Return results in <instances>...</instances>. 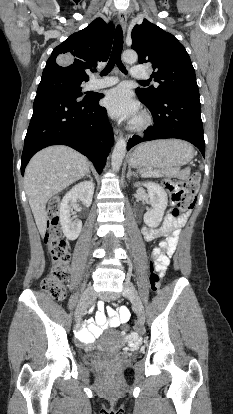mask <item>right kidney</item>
<instances>
[{"label":"right kidney","instance_id":"1","mask_svg":"<svg viewBox=\"0 0 233 414\" xmlns=\"http://www.w3.org/2000/svg\"><path fill=\"white\" fill-rule=\"evenodd\" d=\"M94 194V183L92 181H83L75 185L69 192L65 194L60 204V224L64 235L69 240L78 238L81 229V220H73L71 218L72 207L80 200L86 207L92 203Z\"/></svg>","mask_w":233,"mask_h":414}]
</instances>
